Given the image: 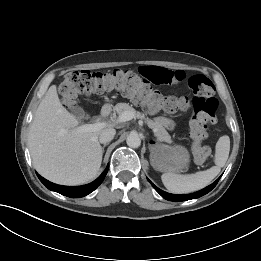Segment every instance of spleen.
I'll return each mask as SVG.
<instances>
[{
  "instance_id": "obj_1",
  "label": "spleen",
  "mask_w": 261,
  "mask_h": 261,
  "mask_svg": "<svg viewBox=\"0 0 261 261\" xmlns=\"http://www.w3.org/2000/svg\"><path fill=\"white\" fill-rule=\"evenodd\" d=\"M230 151V138L224 135L219 138L215 146V164L205 171L195 174L164 173L161 180L168 191L175 194H186L198 191L211 183L225 165Z\"/></svg>"
}]
</instances>
